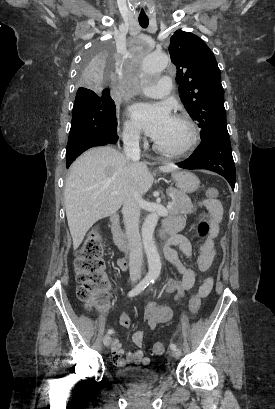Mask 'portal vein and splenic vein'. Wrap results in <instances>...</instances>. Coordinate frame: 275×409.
<instances>
[{"instance_id": "obj_1", "label": "portal vein and splenic vein", "mask_w": 275, "mask_h": 409, "mask_svg": "<svg viewBox=\"0 0 275 409\" xmlns=\"http://www.w3.org/2000/svg\"><path fill=\"white\" fill-rule=\"evenodd\" d=\"M111 194H118V190H114ZM167 209H172V202H168Z\"/></svg>"}]
</instances>
